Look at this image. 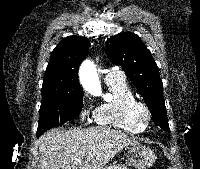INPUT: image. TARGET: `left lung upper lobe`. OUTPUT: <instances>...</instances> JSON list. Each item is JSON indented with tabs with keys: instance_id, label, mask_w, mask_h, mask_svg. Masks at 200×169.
Segmentation results:
<instances>
[{
	"instance_id": "1",
	"label": "left lung upper lobe",
	"mask_w": 200,
	"mask_h": 169,
	"mask_svg": "<svg viewBox=\"0 0 200 169\" xmlns=\"http://www.w3.org/2000/svg\"><path fill=\"white\" fill-rule=\"evenodd\" d=\"M106 54L114 64L122 67L137 87L155 124L170 131L158 67L139 36L134 33L112 36L107 40Z\"/></svg>"
}]
</instances>
